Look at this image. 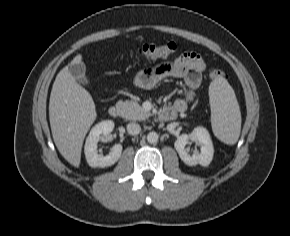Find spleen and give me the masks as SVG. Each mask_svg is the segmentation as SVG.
Here are the masks:
<instances>
[{
    "label": "spleen",
    "mask_w": 290,
    "mask_h": 236,
    "mask_svg": "<svg viewBox=\"0 0 290 236\" xmlns=\"http://www.w3.org/2000/svg\"><path fill=\"white\" fill-rule=\"evenodd\" d=\"M212 129L226 144H235L241 131V113L233 88L222 78L209 86Z\"/></svg>",
    "instance_id": "obj_1"
}]
</instances>
